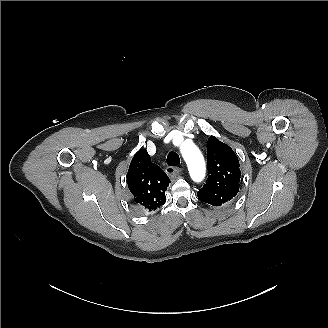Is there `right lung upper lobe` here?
<instances>
[{
	"instance_id": "right-lung-upper-lobe-1",
	"label": "right lung upper lobe",
	"mask_w": 328,
	"mask_h": 328,
	"mask_svg": "<svg viewBox=\"0 0 328 328\" xmlns=\"http://www.w3.org/2000/svg\"><path fill=\"white\" fill-rule=\"evenodd\" d=\"M170 183L167 174L150 162L145 149L138 151L129 166L127 184L134 203L145 212L160 208L166 201L165 191Z\"/></svg>"
}]
</instances>
